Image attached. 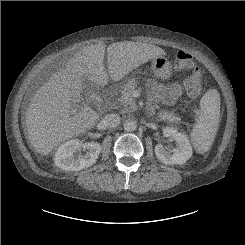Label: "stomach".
<instances>
[{"mask_svg":"<svg viewBox=\"0 0 245 245\" xmlns=\"http://www.w3.org/2000/svg\"><path fill=\"white\" fill-rule=\"evenodd\" d=\"M151 68L155 76L168 78L171 75V64L164 56H158L152 60Z\"/></svg>","mask_w":245,"mask_h":245,"instance_id":"stomach-1","label":"stomach"}]
</instances>
